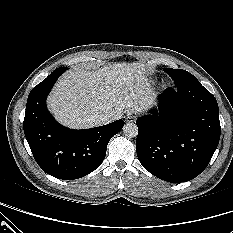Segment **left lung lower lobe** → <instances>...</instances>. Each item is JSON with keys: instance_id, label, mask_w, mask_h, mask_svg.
<instances>
[{"instance_id": "1", "label": "left lung lower lobe", "mask_w": 233, "mask_h": 233, "mask_svg": "<svg viewBox=\"0 0 233 233\" xmlns=\"http://www.w3.org/2000/svg\"><path fill=\"white\" fill-rule=\"evenodd\" d=\"M159 98V112L136 121L138 159L162 180H192L207 167L219 143L217 101L200 82L166 89Z\"/></svg>"}]
</instances>
